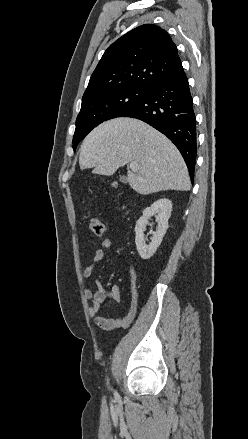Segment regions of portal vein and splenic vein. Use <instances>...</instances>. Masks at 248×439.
Returning <instances> with one entry per match:
<instances>
[{
    "instance_id": "obj_1",
    "label": "portal vein and splenic vein",
    "mask_w": 248,
    "mask_h": 439,
    "mask_svg": "<svg viewBox=\"0 0 248 439\" xmlns=\"http://www.w3.org/2000/svg\"><path fill=\"white\" fill-rule=\"evenodd\" d=\"M130 168L132 170H136L138 168V164L136 162H132V163H130Z\"/></svg>"
}]
</instances>
